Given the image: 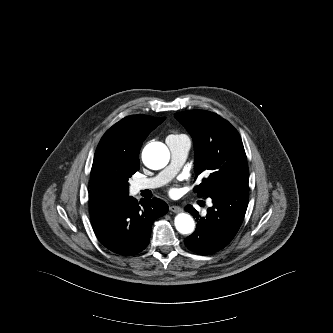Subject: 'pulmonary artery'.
<instances>
[{"label":"pulmonary artery","instance_id":"e3ab8cb5","mask_svg":"<svg viewBox=\"0 0 333 333\" xmlns=\"http://www.w3.org/2000/svg\"><path fill=\"white\" fill-rule=\"evenodd\" d=\"M166 143L171 153V163L154 177L137 179L134 182L136 191L163 186L173 178L184 164L190 149V140L188 138H167Z\"/></svg>","mask_w":333,"mask_h":333}]
</instances>
